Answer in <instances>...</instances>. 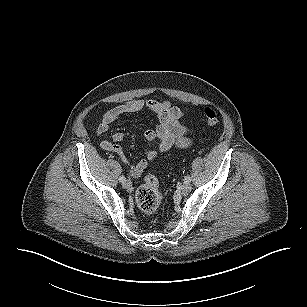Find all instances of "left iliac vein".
<instances>
[{"label": "left iliac vein", "mask_w": 307, "mask_h": 307, "mask_svg": "<svg viewBox=\"0 0 307 307\" xmlns=\"http://www.w3.org/2000/svg\"><path fill=\"white\" fill-rule=\"evenodd\" d=\"M192 186L189 182H184L180 189L183 191V192H189L191 190Z\"/></svg>", "instance_id": "obj_1"}]
</instances>
